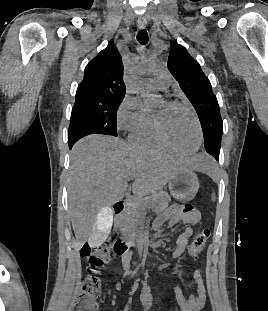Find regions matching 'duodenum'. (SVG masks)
<instances>
[{
    "mask_svg": "<svg viewBox=\"0 0 268 311\" xmlns=\"http://www.w3.org/2000/svg\"><path fill=\"white\" fill-rule=\"evenodd\" d=\"M124 209H125V203L124 202H117L114 205V212H115V216L117 219L120 218ZM145 243H146L145 238H138L137 240H134L131 242H124L121 240H116L113 244V247H114V250L117 251L119 254H124L128 250H130V247L144 245Z\"/></svg>",
    "mask_w": 268,
    "mask_h": 311,
    "instance_id": "obj_1",
    "label": "duodenum"
}]
</instances>
